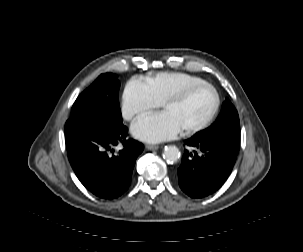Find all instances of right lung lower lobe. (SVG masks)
I'll return each mask as SVG.
<instances>
[{"label": "right lung lower lobe", "mask_w": 303, "mask_h": 252, "mask_svg": "<svg viewBox=\"0 0 303 252\" xmlns=\"http://www.w3.org/2000/svg\"><path fill=\"white\" fill-rule=\"evenodd\" d=\"M124 125L77 119L66 125L65 137L71 166L81 183L95 195L113 199L131 184V175L143 145L127 139ZM122 144L119 154L114 146Z\"/></svg>", "instance_id": "1"}]
</instances>
